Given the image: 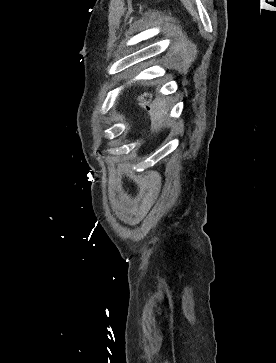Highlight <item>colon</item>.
<instances>
[{
  "label": "colon",
  "mask_w": 276,
  "mask_h": 363,
  "mask_svg": "<svg viewBox=\"0 0 276 363\" xmlns=\"http://www.w3.org/2000/svg\"><path fill=\"white\" fill-rule=\"evenodd\" d=\"M148 99H149L148 95L144 94V95H142V96L140 97V103H141L142 105H145V104H146V102L148 101Z\"/></svg>",
  "instance_id": "obj_1"
}]
</instances>
